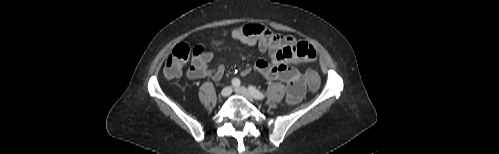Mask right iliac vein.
Wrapping results in <instances>:
<instances>
[{
    "instance_id": "right-iliac-vein-1",
    "label": "right iliac vein",
    "mask_w": 499,
    "mask_h": 154,
    "mask_svg": "<svg viewBox=\"0 0 499 154\" xmlns=\"http://www.w3.org/2000/svg\"><path fill=\"white\" fill-rule=\"evenodd\" d=\"M231 93H232V87L227 86V87H225V88L222 89L221 96L222 97H228Z\"/></svg>"
}]
</instances>
